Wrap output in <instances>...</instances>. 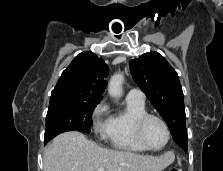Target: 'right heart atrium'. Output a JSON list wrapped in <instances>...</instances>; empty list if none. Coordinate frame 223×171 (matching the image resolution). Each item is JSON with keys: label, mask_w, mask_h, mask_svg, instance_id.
I'll use <instances>...</instances> for the list:
<instances>
[{"label": "right heart atrium", "mask_w": 223, "mask_h": 171, "mask_svg": "<svg viewBox=\"0 0 223 171\" xmlns=\"http://www.w3.org/2000/svg\"><path fill=\"white\" fill-rule=\"evenodd\" d=\"M109 106L105 101L96 105L92 112L93 128L99 135H106L109 127Z\"/></svg>", "instance_id": "1"}]
</instances>
